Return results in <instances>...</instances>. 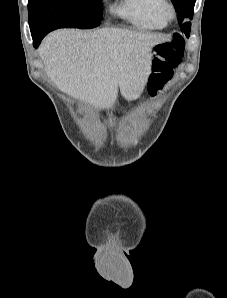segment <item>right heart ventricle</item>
<instances>
[{"instance_id": "right-heart-ventricle-1", "label": "right heart ventricle", "mask_w": 227, "mask_h": 298, "mask_svg": "<svg viewBox=\"0 0 227 298\" xmlns=\"http://www.w3.org/2000/svg\"><path fill=\"white\" fill-rule=\"evenodd\" d=\"M165 0H121L113 12L143 30H159L168 24L164 14Z\"/></svg>"}]
</instances>
